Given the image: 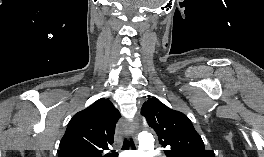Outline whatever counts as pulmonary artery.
<instances>
[{
  "mask_svg": "<svg viewBox=\"0 0 264 157\" xmlns=\"http://www.w3.org/2000/svg\"><path fill=\"white\" fill-rule=\"evenodd\" d=\"M128 155H135V156H138V157H150L149 154H147V153H142V152H140V153H138V154H128Z\"/></svg>",
  "mask_w": 264,
  "mask_h": 157,
  "instance_id": "obj_1",
  "label": "pulmonary artery"
}]
</instances>
